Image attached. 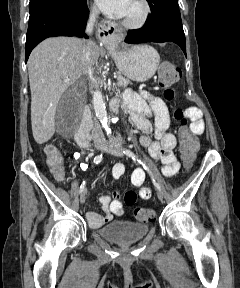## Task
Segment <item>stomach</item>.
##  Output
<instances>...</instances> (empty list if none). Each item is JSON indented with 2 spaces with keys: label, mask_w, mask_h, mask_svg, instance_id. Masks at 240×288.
I'll return each instance as SVG.
<instances>
[{
  "label": "stomach",
  "mask_w": 240,
  "mask_h": 288,
  "mask_svg": "<svg viewBox=\"0 0 240 288\" xmlns=\"http://www.w3.org/2000/svg\"><path fill=\"white\" fill-rule=\"evenodd\" d=\"M109 53L119 71L136 82L149 80L160 63L158 52L149 45H136L127 49L115 44L109 47Z\"/></svg>",
  "instance_id": "obj_1"
}]
</instances>
